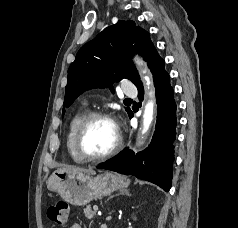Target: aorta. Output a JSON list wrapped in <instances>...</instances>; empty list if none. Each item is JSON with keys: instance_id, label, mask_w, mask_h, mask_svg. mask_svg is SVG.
Here are the masks:
<instances>
[{"instance_id": "762f6f07", "label": "aorta", "mask_w": 238, "mask_h": 228, "mask_svg": "<svg viewBox=\"0 0 238 228\" xmlns=\"http://www.w3.org/2000/svg\"><path fill=\"white\" fill-rule=\"evenodd\" d=\"M135 62L138 65H143V61H141L139 58H135ZM144 73L146 72V70L143 71ZM146 83L147 85H150L151 81L149 78H146ZM150 96V100L147 102L145 109H144V113H143V129H142V134H145L148 132L149 127L151 125V122L153 120V112H154V100H153V93L150 92L149 93Z\"/></svg>"}]
</instances>
